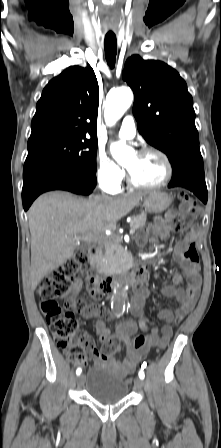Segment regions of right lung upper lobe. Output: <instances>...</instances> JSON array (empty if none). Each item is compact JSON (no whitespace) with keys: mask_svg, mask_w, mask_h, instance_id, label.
<instances>
[{"mask_svg":"<svg viewBox=\"0 0 221 448\" xmlns=\"http://www.w3.org/2000/svg\"><path fill=\"white\" fill-rule=\"evenodd\" d=\"M99 87L91 67L72 66L53 78L36 105L28 148L44 143L97 136Z\"/></svg>","mask_w":221,"mask_h":448,"instance_id":"cb5924a9","label":"right lung upper lobe"}]
</instances>
